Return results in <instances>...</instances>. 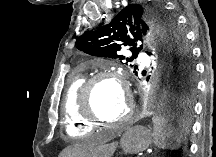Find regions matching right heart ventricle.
I'll use <instances>...</instances> for the list:
<instances>
[{
	"label": "right heart ventricle",
	"mask_w": 216,
	"mask_h": 157,
	"mask_svg": "<svg viewBox=\"0 0 216 157\" xmlns=\"http://www.w3.org/2000/svg\"><path fill=\"white\" fill-rule=\"evenodd\" d=\"M84 81L82 74L71 75L61 101L64 131L71 137H82L93 131V125L81 116L77 106L78 92Z\"/></svg>",
	"instance_id": "right-heart-ventricle-1"
}]
</instances>
